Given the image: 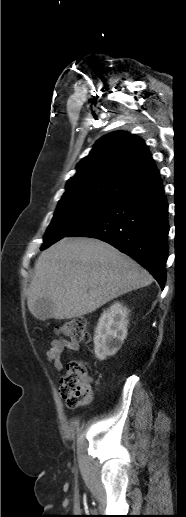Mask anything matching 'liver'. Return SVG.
Returning <instances> with one entry per match:
<instances>
[{"label":"liver","mask_w":186,"mask_h":517,"mask_svg":"<svg viewBox=\"0 0 186 517\" xmlns=\"http://www.w3.org/2000/svg\"><path fill=\"white\" fill-rule=\"evenodd\" d=\"M152 282L146 269L110 244L93 238H65L36 260L27 304L37 317L34 304L47 299L52 303L47 318L71 319Z\"/></svg>","instance_id":"obj_1"}]
</instances>
